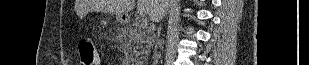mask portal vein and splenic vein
Wrapping results in <instances>:
<instances>
[{"instance_id": "18ae733b", "label": "portal vein and splenic vein", "mask_w": 309, "mask_h": 65, "mask_svg": "<svg viewBox=\"0 0 309 65\" xmlns=\"http://www.w3.org/2000/svg\"><path fill=\"white\" fill-rule=\"evenodd\" d=\"M147 25H148V20H147V18L143 17V18L141 19V26L144 27V28H146Z\"/></svg>"}]
</instances>
